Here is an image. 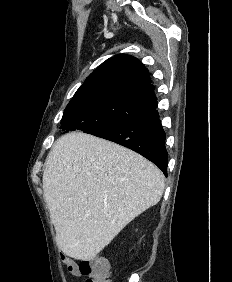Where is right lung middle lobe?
Listing matches in <instances>:
<instances>
[{"mask_svg":"<svg viewBox=\"0 0 232 282\" xmlns=\"http://www.w3.org/2000/svg\"><path fill=\"white\" fill-rule=\"evenodd\" d=\"M156 105L148 95L132 90L89 92L73 97L65 108L61 129L89 133L150 114Z\"/></svg>","mask_w":232,"mask_h":282,"instance_id":"right-lung-middle-lobe-1","label":"right lung middle lobe"}]
</instances>
